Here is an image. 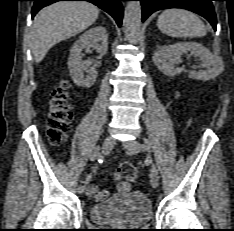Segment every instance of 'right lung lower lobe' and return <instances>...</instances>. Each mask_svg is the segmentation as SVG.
Returning a JSON list of instances; mask_svg holds the SVG:
<instances>
[{
	"instance_id": "98d812e1",
	"label": "right lung lower lobe",
	"mask_w": 234,
	"mask_h": 231,
	"mask_svg": "<svg viewBox=\"0 0 234 231\" xmlns=\"http://www.w3.org/2000/svg\"><path fill=\"white\" fill-rule=\"evenodd\" d=\"M34 6L32 8V18L43 7L50 5L57 1H88L91 2L104 11L108 12L117 22L118 26H121L123 8L121 1L123 0H33Z\"/></svg>"
}]
</instances>
